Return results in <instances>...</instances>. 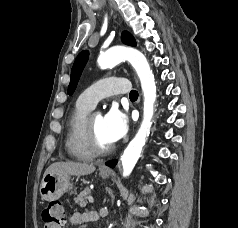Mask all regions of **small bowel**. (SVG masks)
<instances>
[{"instance_id":"c3829d8e","label":"small bowel","mask_w":238,"mask_h":228,"mask_svg":"<svg viewBox=\"0 0 238 228\" xmlns=\"http://www.w3.org/2000/svg\"><path fill=\"white\" fill-rule=\"evenodd\" d=\"M86 221H88L86 214L81 213H74L70 218V222L75 226H81ZM44 228H62V224H47Z\"/></svg>"}]
</instances>
